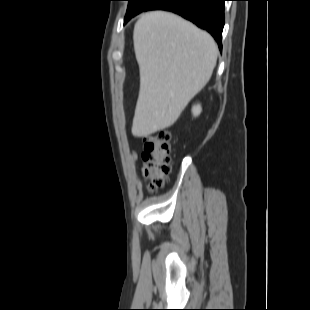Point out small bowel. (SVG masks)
I'll return each mask as SVG.
<instances>
[{
	"label": "small bowel",
	"instance_id": "obj_1",
	"mask_svg": "<svg viewBox=\"0 0 310 310\" xmlns=\"http://www.w3.org/2000/svg\"><path fill=\"white\" fill-rule=\"evenodd\" d=\"M136 157H137L136 153H133V154H132V158H133V159H136Z\"/></svg>",
	"mask_w": 310,
	"mask_h": 310
}]
</instances>
